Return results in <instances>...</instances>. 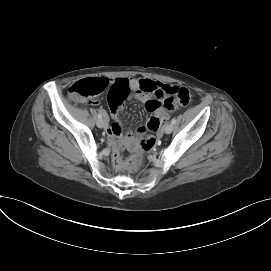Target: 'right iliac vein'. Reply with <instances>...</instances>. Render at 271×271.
Returning a JSON list of instances; mask_svg holds the SVG:
<instances>
[{"instance_id":"obj_1","label":"right iliac vein","mask_w":271,"mask_h":271,"mask_svg":"<svg viewBox=\"0 0 271 271\" xmlns=\"http://www.w3.org/2000/svg\"><path fill=\"white\" fill-rule=\"evenodd\" d=\"M96 124L99 128H104L106 123L103 119H98Z\"/></svg>"}]
</instances>
